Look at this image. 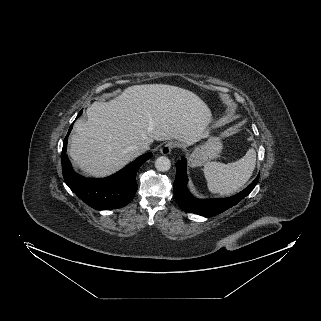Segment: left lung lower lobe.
I'll use <instances>...</instances> for the list:
<instances>
[{
    "mask_svg": "<svg viewBox=\"0 0 321 321\" xmlns=\"http://www.w3.org/2000/svg\"><path fill=\"white\" fill-rule=\"evenodd\" d=\"M259 179L258 176L254 181L240 193L226 198L201 201L192 196L187 188V169L186 159L182 158L176 163V177L174 181V196L180 208L188 213H195L202 216H214L224 212L230 207L236 205L244 197L250 194Z\"/></svg>",
    "mask_w": 321,
    "mask_h": 321,
    "instance_id": "1",
    "label": "left lung lower lobe"
}]
</instances>
